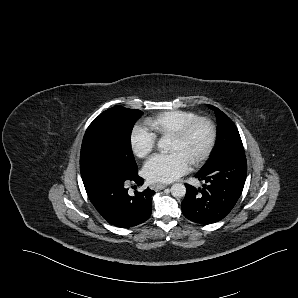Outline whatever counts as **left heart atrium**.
<instances>
[{"label": "left heart atrium", "instance_id": "39dd6f15", "mask_svg": "<svg viewBox=\"0 0 298 298\" xmlns=\"http://www.w3.org/2000/svg\"><path fill=\"white\" fill-rule=\"evenodd\" d=\"M188 168L187 162L178 152L153 155L144 165V175L153 182H170L183 175Z\"/></svg>", "mask_w": 298, "mask_h": 298}]
</instances>
